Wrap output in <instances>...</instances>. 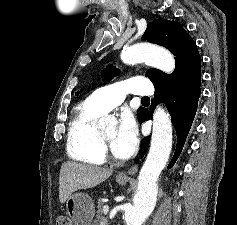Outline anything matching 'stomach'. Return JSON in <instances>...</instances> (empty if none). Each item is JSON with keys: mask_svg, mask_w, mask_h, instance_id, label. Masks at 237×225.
Returning a JSON list of instances; mask_svg holds the SVG:
<instances>
[{"mask_svg": "<svg viewBox=\"0 0 237 225\" xmlns=\"http://www.w3.org/2000/svg\"><path fill=\"white\" fill-rule=\"evenodd\" d=\"M116 181L121 185H125L128 179L117 177ZM66 210L75 225H91L95 214V205L89 195L75 193L67 199Z\"/></svg>", "mask_w": 237, "mask_h": 225, "instance_id": "stomach-1", "label": "stomach"}]
</instances>
